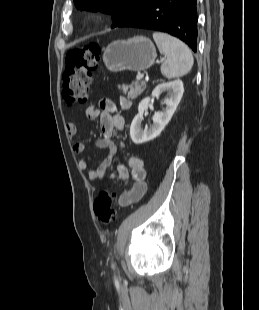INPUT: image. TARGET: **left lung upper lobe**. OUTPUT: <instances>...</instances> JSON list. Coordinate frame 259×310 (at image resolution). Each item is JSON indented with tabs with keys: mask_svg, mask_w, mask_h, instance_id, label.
Here are the masks:
<instances>
[{
	"mask_svg": "<svg viewBox=\"0 0 259 310\" xmlns=\"http://www.w3.org/2000/svg\"><path fill=\"white\" fill-rule=\"evenodd\" d=\"M152 0H74L79 10L101 11L112 15L113 27Z\"/></svg>",
	"mask_w": 259,
	"mask_h": 310,
	"instance_id": "1",
	"label": "left lung upper lobe"
}]
</instances>
